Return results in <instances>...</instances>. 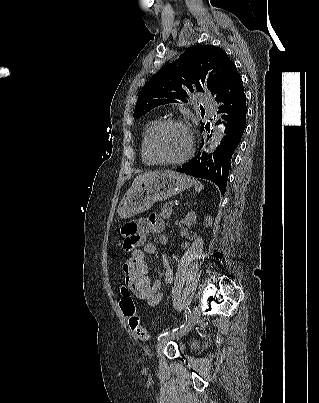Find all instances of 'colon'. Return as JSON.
Returning a JSON list of instances; mask_svg holds the SVG:
<instances>
[{"mask_svg":"<svg viewBox=\"0 0 319 403\" xmlns=\"http://www.w3.org/2000/svg\"><path fill=\"white\" fill-rule=\"evenodd\" d=\"M137 241L135 240V246ZM131 256V257H130ZM122 276L126 286L122 287L123 295L129 291L135 294V303L132 296H118L117 304L121 310L123 323L128 325L130 336L144 341L148 338L146 329L140 321L137 309L145 308V301L150 300L153 293L154 277L150 275L146 258H142V249L135 247L127 251L123 250Z\"/></svg>","mask_w":319,"mask_h":403,"instance_id":"obj_1","label":"colon"}]
</instances>
